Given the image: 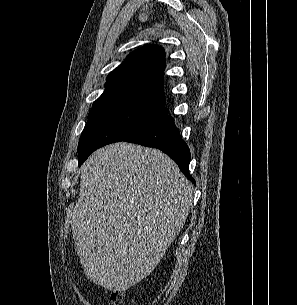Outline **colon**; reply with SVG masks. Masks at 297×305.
Masks as SVG:
<instances>
[{"mask_svg": "<svg viewBox=\"0 0 297 305\" xmlns=\"http://www.w3.org/2000/svg\"><path fill=\"white\" fill-rule=\"evenodd\" d=\"M123 300H124L123 293L121 291H114L111 294L109 305H122Z\"/></svg>", "mask_w": 297, "mask_h": 305, "instance_id": "colon-1", "label": "colon"}]
</instances>
